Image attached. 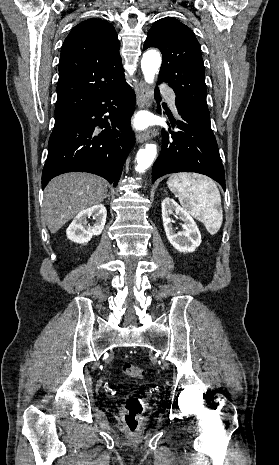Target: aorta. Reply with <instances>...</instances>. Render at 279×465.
I'll return each mask as SVG.
<instances>
[{
    "instance_id": "1",
    "label": "aorta",
    "mask_w": 279,
    "mask_h": 465,
    "mask_svg": "<svg viewBox=\"0 0 279 465\" xmlns=\"http://www.w3.org/2000/svg\"><path fill=\"white\" fill-rule=\"evenodd\" d=\"M160 66L161 57L159 52L151 50L143 54L141 60V69L144 75V79L147 83H153L155 75L158 73ZM156 154V144H146L145 147L141 148L136 155L137 165L135 166V170L138 173H144L153 163Z\"/></svg>"
}]
</instances>
